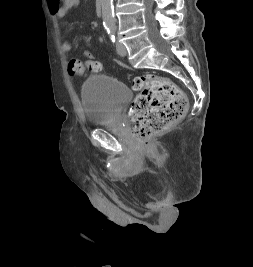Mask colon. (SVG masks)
<instances>
[{
    "instance_id": "5ec220e1",
    "label": "colon",
    "mask_w": 253,
    "mask_h": 267,
    "mask_svg": "<svg viewBox=\"0 0 253 267\" xmlns=\"http://www.w3.org/2000/svg\"><path fill=\"white\" fill-rule=\"evenodd\" d=\"M87 58L81 61L72 58L68 62L71 75H82L85 68L90 72H100V62L93 59L89 50L84 51ZM132 88L139 91L132 102L128 116L133 136L142 144L162 133L186 112L188 101L173 82L158 75H140L132 80Z\"/></svg>"
}]
</instances>
